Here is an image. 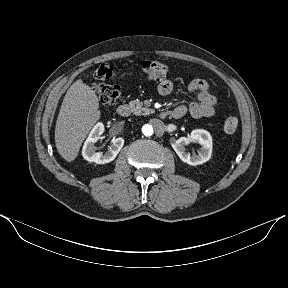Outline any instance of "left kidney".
I'll return each instance as SVG.
<instances>
[{"label": "left kidney", "mask_w": 288, "mask_h": 288, "mask_svg": "<svg viewBox=\"0 0 288 288\" xmlns=\"http://www.w3.org/2000/svg\"><path fill=\"white\" fill-rule=\"evenodd\" d=\"M190 142H195L201 145L198 155H191L186 151V145ZM172 147L179 158L189 165H200L207 162L212 154V137L206 130L196 129L191 132V135L181 137L172 143Z\"/></svg>", "instance_id": "5707ae66"}]
</instances>
